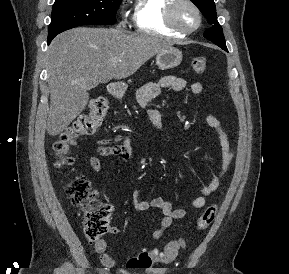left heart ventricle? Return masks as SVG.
<instances>
[{
    "instance_id": "left-heart-ventricle-1",
    "label": "left heart ventricle",
    "mask_w": 289,
    "mask_h": 274,
    "mask_svg": "<svg viewBox=\"0 0 289 274\" xmlns=\"http://www.w3.org/2000/svg\"><path fill=\"white\" fill-rule=\"evenodd\" d=\"M175 19L177 23L184 28H190L197 23L196 13L187 4H180L177 6L175 10Z\"/></svg>"
}]
</instances>
